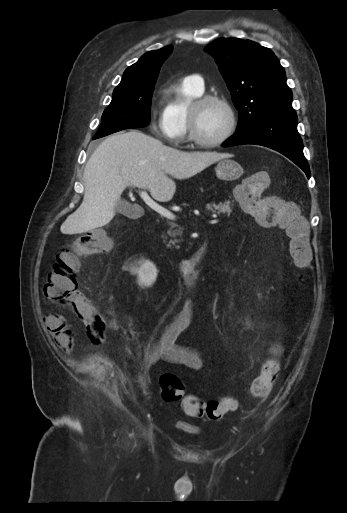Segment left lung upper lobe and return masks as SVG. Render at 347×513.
Masks as SVG:
<instances>
[{
  "label": "left lung upper lobe",
  "instance_id": "5c2ea615",
  "mask_svg": "<svg viewBox=\"0 0 347 513\" xmlns=\"http://www.w3.org/2000/svg\"><path fill=\"white\" fill-rule=\"evenodd\" d=\"M205 50L215 57L239 110L236 133L267 117L296 115L284 68L270 49L250 40L219 38Z\"/></svg>",
  "mask_w": 347,
  "mask_h": 513
}]
</instances>
